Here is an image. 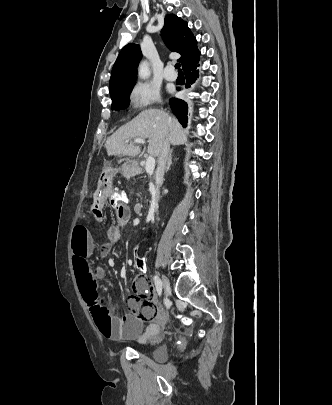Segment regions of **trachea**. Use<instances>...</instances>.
Instances as JSON below:
<instances>
[{
	"mask_svg": "<svg viewBox=\"0 0 332 405\" xmlns=\"http://www.w3.org/2000/svg\"><path fill=\"white\" fill-rule=\"evenodd\" d=\"M180 67H181V65H180L179 63H177V64L175 65V68L178 70V72H179V73H182Z\"/></svg>",
	"mask_w": 332,
	"mask_h": 405,
	"instance_id": "3493384b",
	"label": "trachea"
}]
</instances>
